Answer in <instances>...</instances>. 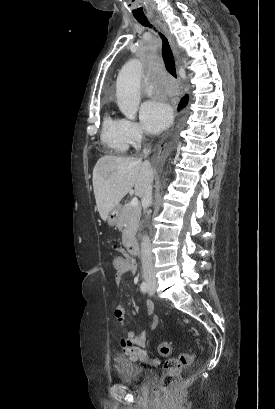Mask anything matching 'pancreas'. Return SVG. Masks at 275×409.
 Segmentation results:
<instances>
[{
	"instance_id": "1",
	"label": "pancreas",
	"mask_w": 275,
	"mask_h": 409,
	"mask_svg": "<svg viewBox=\"0 0 275 409\" xmlns=\"http://www.w3.org/2000/svg\"><path fill=\"white\" fill-rule=\"evenodd\" d=\"M140 215V205H137V207H132L131 202H126V205L122 207L118 227H121V225H126L122 233V243L124 247H130V243L132 239H134L139 227Z\"/></svg>"
}]
</instances>
